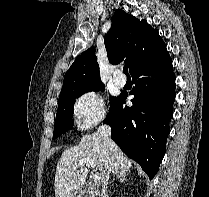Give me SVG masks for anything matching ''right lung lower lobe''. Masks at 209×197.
<instances>
[{"instance_id":"98d812e1","label":"right lung lower lobe","mask_w":209,"mask_h":197,"mask_svg":"<svg viewBox=\"0 0 209 197\" xmlns=\"http://www.w3.org/2000/svg\"><path fill=\"white\" fill-rule=\"evenodd\" d=\"M131 76L136 85L130 93L134 94L133 106H123L127 94L121 93L110 104L103 122L110 125L111 138L140 164L151 180L166 151L175 98V75L169 53L165 50Z\"/></svg>"}]
</instances>
